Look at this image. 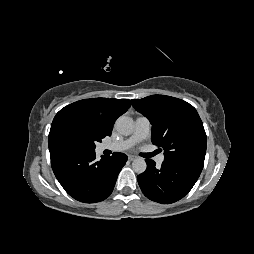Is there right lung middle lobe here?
<instances>
[{
  "label": "right lung middle lobe",
  "mask_w": 254,
  "mask_h": 254,
  "mask_svg": "<svg viewBox=\"0 0 254 254\" xmlns=\"http://www.w3.org/2000/svg\"><path fill=\"white\" fill-rule=\"evenodd\" d=\"M61 138L66 147L95 151V143L104 137L93 126L71 122L64 127Z\"/></svg>",
  "instance_id": "right-lung-middle-lobe-1"
}]
</instances>
